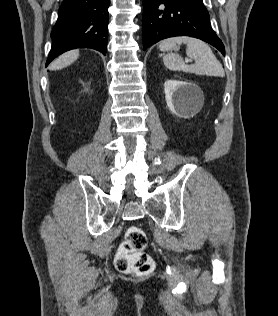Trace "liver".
Returning a JSON list of instances; mask_svg holds the SVG:
<instances>
[{
	"label": "liver",
	"mask_w": 278,
	"mask_h": 316,
	"mask_svg": "<svg viewBox=\"0 0 278 316\" xmlns=\"http://www.w3.org/2000/svg\"><path fill=\"white\" fill-rule=\"evenodd\" d=\"M79 57V50L68 51L59 56L50 66L51 70H60L76 61Z\"/></svg>",
	"instance_id": "obj_1"
}]
</instances>
